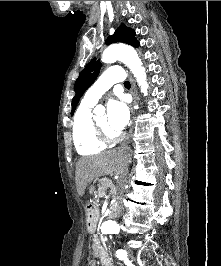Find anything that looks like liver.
Returning <instances> with one entry per match:
<instances>
[{
	"label": "liver",
	"mask_w": 221,
	"mask_h": 266,
	"mask_svg": "<svg viewBox=\"0 0 221 266\" xmlns=\"http://www.w3.org/2000/svg\"><path fill=\"white\" fill-rule=\"evenodd\" d=\"M129 163L128 151L124 148L110 150L98 155L81 157L76 163L75 183L77 192L83 196L88 183L93 179L110 175H125Z\"/></svg>",
	"instance_id": "obj_1"
}]
</instances>
